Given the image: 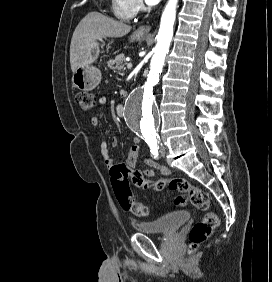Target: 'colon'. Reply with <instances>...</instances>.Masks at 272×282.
Wrapping results in <instances>:
<instances>
[{
    "label": "colon",
    "instance_id": "obj_1",
    "mask_svg": "<svg viewBox=\"0 0 272 282\" xmlns=\"http://www.w3.org/2000/svg\"><path fill=\"white\" fill-rule=\"evenodd\" d=\"M75 100L81 110L90 111L95 107L96 98L91 93L80 91L75 95ZM115 196L120 206L136 216H147L148 208L138 202L131 190L129 183V169L122 164L116 165L112 170ZM170 190L179 191L180 194L175 197L177 206H184L187 198L195 208L204 212L201 220L195 222L189 232L190 251H195L204 243L218 226V217L213 209L209 194L199 188L192 186L185 178L175 177L168 181H163ZM132 183L137 187H143L148 183L140 173L132 175Z\"/></svg>",
    "mask_w": 272,
    "mask_h": 282
}]
</instances>
